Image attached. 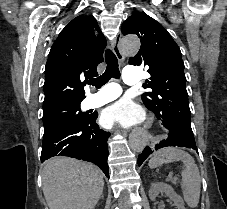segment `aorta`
<instances>
[{
    "label": "aorta",
    "instance_id": "1",
    "mask_svg": "<svg viewBox=\"0 0 227 209\" xmlns=\"http://www.w3.org/2000/svg\"><path fill=\"white\" fill-rule=\"evenodd\" d=\"M121 51L125 55H132L140 48V40L136 36H127L121 41ZM146 144L145 134L140 133L131 140V147L136 152H141Z\"/></svg>",
    "mask_w": 227,
    "mask_h": 209
}]
</instances>
